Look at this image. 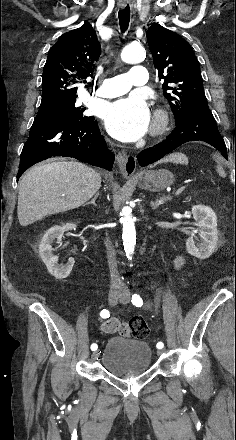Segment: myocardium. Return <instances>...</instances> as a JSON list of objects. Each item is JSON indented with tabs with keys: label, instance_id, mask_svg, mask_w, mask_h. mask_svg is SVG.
Masks as SVG:
<instances>
[{
	"label": "myocardium",
	"instance_id": "myocardium-1",
	"mask_svg": "<svg viewBox=\"0 0 236 440\" xmlns=\"http://www.w3.org/2000/svg\"><path fill=\"white\" fill-rule=\"evenodd\" d=\"M169 123V113L165 109H159L155 113L151 132L153 135L162 134Z\"/></svg>",
	"mask_w": 236,
	"mask_h": 440
}]
</instances>
